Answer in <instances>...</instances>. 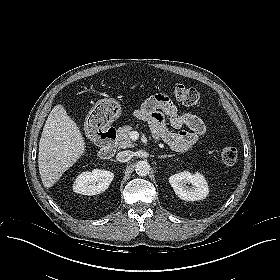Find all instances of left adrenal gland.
Wrapping results in <instances>:
<instances>
[{
  "instance_id": "1",
  "label": "left adrenal gland",
  "mask_w": 280,
  "mask_h": 280,
  "mask_svg": "<svg viewBox=\"0 0 280 280\" xmlns=\"http://www.w3.org/2000/svg\"><path fill=\"white\" fill-rule=\"evenodd\" d=\"M173 155H161V156H159V158H167V157H172Z\"/></svg>"
}]
</instances>
